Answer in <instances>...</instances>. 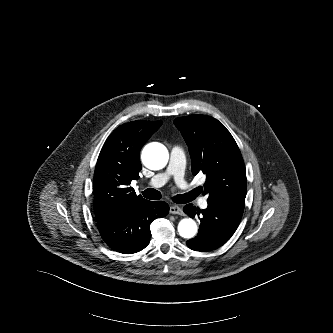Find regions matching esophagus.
<instances>
[{"label": "esophagus", "mask_w": 333, "mask_h": 333, "mask_svg": "<svg viewBox=\"0 0 333 333\" xmlns=\"http://www.w3.org/2000/svg\"><path fill=\"white\" fill-rule=\"evenodd\" d=\"M170 212L174 213V214L183 215V212L181 211V209L176 205L171 207Z\"/></svg>", "instance_id": "1"}]
</instances>
